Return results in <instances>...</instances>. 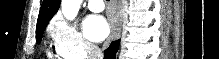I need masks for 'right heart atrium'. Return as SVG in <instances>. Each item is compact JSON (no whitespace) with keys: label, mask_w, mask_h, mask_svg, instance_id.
Segmentation results:
<instances>
[{"label":"right heart atrium","mask_w":219,"mask_h":59,"mask_svg":"<svg viewBox=\"0 0 219 59\" xmlns=\"http://www.w3.org/2000/svg\"><path fill=\"white\" fill-rule=\"evenodd\" d=\"M55 50L65 59H87L94 55L96 47L80 32L77 25L61 18L50 28Z\"/></svg>","instance_id":"d8ad5b80"}]
</instances>
